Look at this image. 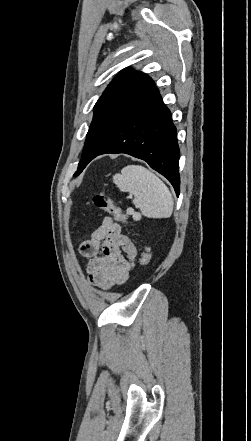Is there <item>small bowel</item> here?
I'll return each mask as SVG.
<instances>
[{"label": "small bowel", "mask_w": 251, "mask_h": 441, "mask_svg": "<svg viewBox=\"0 0 251 441\" xmlns=\"http://www.w3.org/2000/svg\"><path fill=\"white\" fill-rule=\"evenodd\" d=\"M80 253L88 259L85 265L88 281L98 288L109 289L128 280L136 247L118 223L104 217L90 238L81 243Z\"/></svg>", "instance_id": "small-bowel-1"}]
</instances>
